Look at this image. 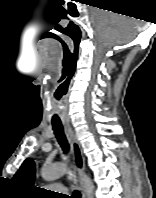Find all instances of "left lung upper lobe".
Instances as JSON below:
<instances>
[{"mask_svg": "<svg viewBox=\"0 0 156 198\" xmlns=\"http://www.w3.org/2000/svg\"><path fill=\"white\" fill-rule=\"evenodd\" d=\"M35 162L28 158L21 165L20 169L16 172L13 180L22 184L32 186L35 179Z\"/></svg>", "mask_w": 156, "mask_h": 198, "instance_id": "5c2ea615", "label": "left lung upper lobe"}]
</instances>
